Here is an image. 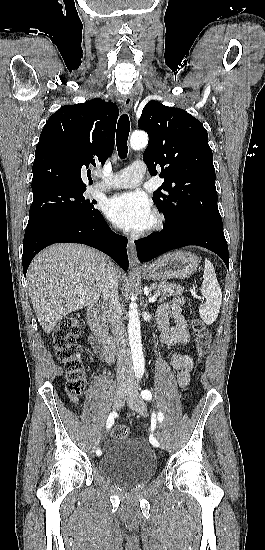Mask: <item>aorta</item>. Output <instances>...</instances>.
Listing matches in <instances>:
<instances>
[{"mask_svg": "<svg viewBox=\"0 0 265 550\" xmlns=\"http://www.w3.org/2000/svg\"><path fill=\"white\" fill-rule=\"evenodd\" d=\"M148 144V135L145 132H134L130 138V146L134 150H139ZM128 335L129 344L132 353L134 371L137 375L144 373V356L141 344V328L139 313L136 306H131L128 312Z\"/></svg>", "mask_w": 265, "mask_h": 550, "instance_id": "762f6f07", "label": "aorta"}]
</instances>
